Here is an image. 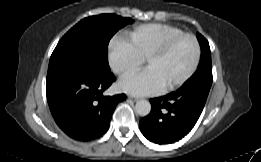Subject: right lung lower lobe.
Here are the masks:
<instances>
[{
    "label": "right lung lower lobe",
    "instance_id": "right-lung-lower-lobe-1",
    "mask_svg": "<svg viewBox=\"0 0 261 162\" xmlns=\"http://www.w3.org/2000/svg\"><path fill=\"white\" fill-rule=\"evenodd\" d=\"M116 78L86 65H68L47 74V101L57 125L71 138L90 141L109 128L125 94L103 96Z\"/></svg>",
    "mask_w": 261,
    "mask_h": 162
}]
</instances>
